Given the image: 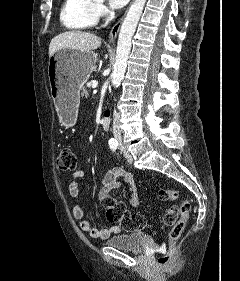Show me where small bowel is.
<instances>
[{
  "label": "small bowel",
  "instance_id": "c3829d8e",
  "mask_svg": "<svg viewBox=\"0 0 240 281\" xmlns=\"http://www.w3.org/2000/svg\"><path fill=\"white\" fill-rule=\"evenodd\" d=\"M83 176V170H76L71 176V180L69 183V193L73 198H77L79 196L78 180ZM120 178H123L125 183H127V185L129 186V190L131 193V205L137 206L139 203V198L135 179L131 173L126 172L124 169L117 166L110 167L105 173L101 188L98 192V201L102 203L106 198H108L111 191L120 187ZM72 215L75 220L79 221L80 229L96 239H106L111 234L117 233L121 230V227L118 225L105 229L96 228L89 220L85 219L84 210L79 204L73 206Z\"/></svg>",
  "mask_w": 240,
  "mask_h": 281
}]
</instances>
